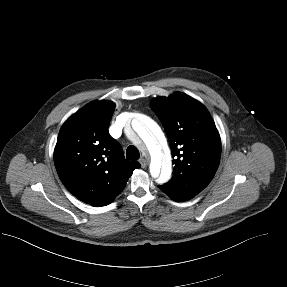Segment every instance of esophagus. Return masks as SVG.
<instances>
[{
    "label": "esophagus",
    "instance_id": "34e87169",
    "mask_svg": "<svg viewBox=\"0 0 287 287\" xmlns=\"http://www.w3.org/2000/svg\"><path fill=\"white\" fill-rule=\"evenodd\" d=\"M140 164L142 168H145L148 165V161L145 158H141Z\"/></svg>",
    "mask_w": 287,
    "mask_h": 287
}]
</instances>
